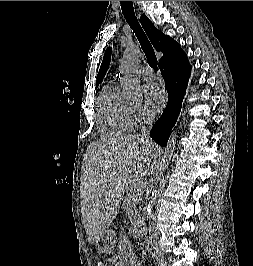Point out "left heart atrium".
Listing matches in <instances>:
<instances>
[{"label": "left heart atrium", "instance_id": "obj_1", "mask_svg": "<svg viewBox=\"0 0 253 266\" xmlns=\"http://www.w3.org/2000/svg\"><path fill=\"white\" fill-rule=\"evenodd\" d=\"M146 107L153 113L159 112L166 103V93L155 83L143 87Z\"/></svg>", "mask_w": 253, "mask_h": 266}]
</instances>
